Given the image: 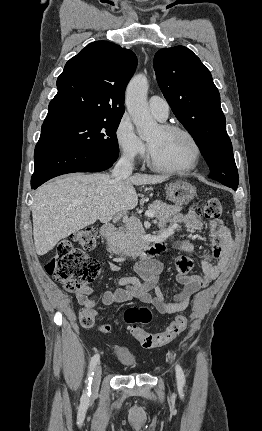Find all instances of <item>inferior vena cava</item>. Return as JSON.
<instances>
[{
    "instance_id": "1",
    "label": "inferior vena cava",
    "mask_w": 262,
    "mask_h": 431,
    "mask_svg": "<svg viewBox=\"0 0 262 431\" xmlns=\"http://www.w3.org/2000/svg\"><path fill=\"white\" fill-rule=\"evenodd\" d=\"M134 157L129 154H124L116 163L114 169L112 170V177L120 180L125 177H129L133 171Z\"/></svg>"
}]
</instances>
